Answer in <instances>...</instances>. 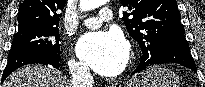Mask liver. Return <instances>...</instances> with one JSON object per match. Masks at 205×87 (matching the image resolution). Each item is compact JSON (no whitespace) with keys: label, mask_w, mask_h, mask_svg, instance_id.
<instances>
[{"label":"liver","mask_w":205,"mask_h":87,"mask_svg":"<svg viewBox=\"0 0 205 87\" xmlns=\"http://www.w3.org/2000/svg\"><path fill=\"white\" fill-rule=\"evenodd\" d=\"M3 87H72L71 82L51 66L27 65L13 72Z\"/></svg>","instance_id":"6515ba94"}]
</instances>
